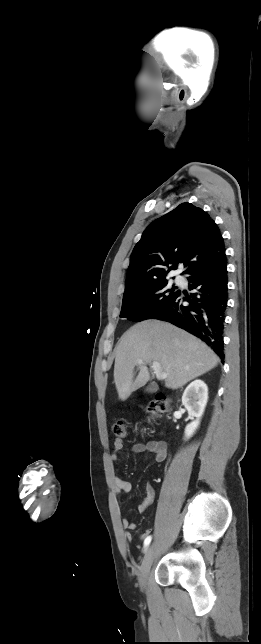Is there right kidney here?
<instances>
[{
  "label": "right kidney",
  "mask_w": 261,
  "mask_h": 644,
  "mask_svg": "<svg viewBox=\"0 0 261 644\" xmlns=\"http://www.w3.org/2000/svg\"><path fill=\"white\" fill-rule=\"evenodd\" d=\"M208 400V387L202 380L191 382L182 396V404L188 414L196 419L185 428V439H189L200 424Z\"/></svg>",
  "instance_id": "ca27d5eb"
}]
</instances>
